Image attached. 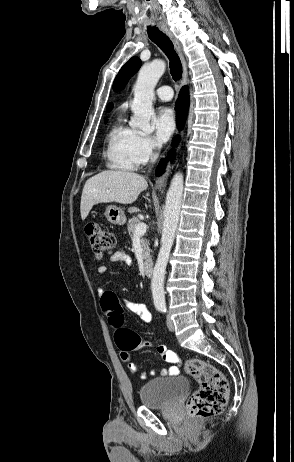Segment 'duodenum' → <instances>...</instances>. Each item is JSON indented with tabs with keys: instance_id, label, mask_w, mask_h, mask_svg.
<instances>
[{
	"instance_id": "duodenum-1",
	"label": "duodenum",
	"mask_w": 294,
	"mask_h": 462,
	"mask_svg": "<svg viewBox=\"0 0 294 462\" xmlns=\"http://www.w3.org/2000/svg\"><path fill=\"white\" fill-rule=\"evenodd\" d=\"M143 269L146 275H151L154 269V262L152 259H145L143 262Z\"/></svg>"
}]
</instances>
